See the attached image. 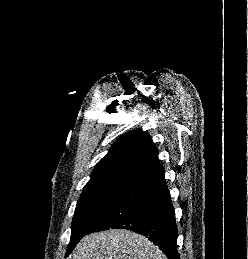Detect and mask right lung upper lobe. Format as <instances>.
Instances as JSON below:
<instances>
[{
	"label": "right lung upper lobe",
	"instance_id": "cb5924a9",
	"mask_svg": "<svg viewBox=\"0 0 248 259\" xmlns=\"http://www.w3.org/2000/svg\"><path fill=\"white\" fill-rule=\"evenodd\" d=\"M158 152L150 135L142 130L120 137L96 165L85 186L107 182L135 184L141 179L163 170Z\"/></svg>",
	"mask_w": 248,
	"mask_h": 259
}]
</instances>
